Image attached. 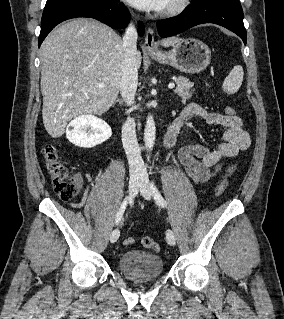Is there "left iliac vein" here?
I'll use <instances>...</instances> for the list:
<instances>
[{
    "label": "left iliac vein",
    "mask_w": 284,
    "mask_h": 319,
    "mask_svg": "<svg viewBox=\"0 0 284 319\" xmlns=\"http://www.w3.org/2000/svg\"><path fill=\"white\" fill-rule=\"evenodd\" d=\"M140 192L141 195L146 199L150 200L152 198L151 184L148 179L146 171H143L140 176ZM166 239L169 245L174 246L176 243V238L172 230L168 229L166 231Z\"/></svg>",
    "instance_id": "obj_1"
}]
</instances>
